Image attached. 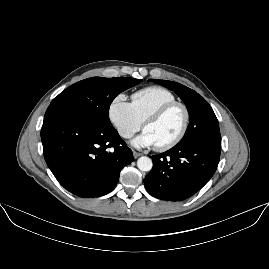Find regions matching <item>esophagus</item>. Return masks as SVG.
I'll use <instances>...</instances> for the list:
<instances>
[{"label":"esophagus","mask_w":269,"mask_h":269,"mask_svg":"<svg viewBox=\"0 0 269 269\" xmlns=\"http://www.w3.org/2000/svg\"><path fill=\"white\" fill-rule=\"evenodd\" d=\"M141 155H142L141 153L133 151V156H134L135 159L138 158Z\"/></svg>","instance_id":"esophagus-1"}]
</instances>
